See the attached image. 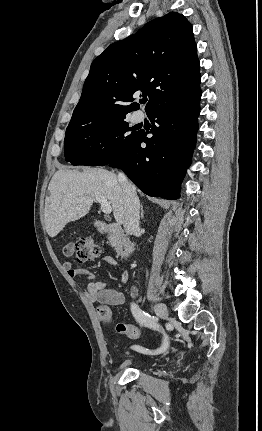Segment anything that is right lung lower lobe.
Returning a JSON list of instances; mask_svg holds the SVG:
<instances>
[{
	"mask_svg": "<svg viewBox=\"0 0 262 431\" xmlns=\"http://www.w3.org/2000/svg\"><path fill=\"white\" fill-rule=\"evenodd\" d=\"M201 90L153 109L150 133L138 132L125 150L108 165L122 169L145 194L165 199L179 197V184L190 165L198 130ZM156 122V125L154 124ZM146 147L142 148L141 143Z\"/></svg>",
	"mask_w": 262,
	"mask_h": 431,
	"instance_id": "right-lung-lower-lobe-1",
	"label": "right lung lower lobe"
}]
</instances>
